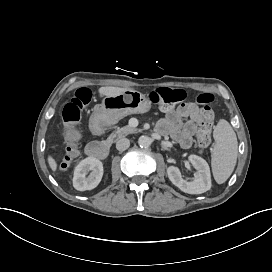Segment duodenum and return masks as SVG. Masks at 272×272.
Returning <instances> with one entry per match:
<instances>
[{
  "label": "duodenum",
  "instance_id": "duodenum-1",
  "mask_svg": "<svg viewBox=\"0 0 272 272\" xmlns=\"http://www.w3.org/2000/svg\"><path fill=\"white\" fill-rule=\"evenodd\" d=\"M108 121L109 118L106 109L103 107L96 109L90 121L92 132L96 135L101 134L107 126ZM85 151L88 157L105 159L109 155L110 147L107 143L93 141L86 146Z\"/></svg>",
  "mask_w": 272,
  "mask_h": 272
}]
</instances>
